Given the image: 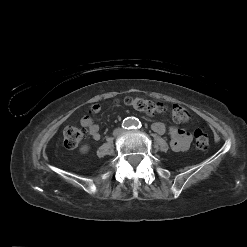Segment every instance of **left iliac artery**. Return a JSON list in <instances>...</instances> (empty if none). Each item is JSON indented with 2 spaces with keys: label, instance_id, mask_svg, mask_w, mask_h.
Listing matches in <instances>:
<instances>
[{
  "label": "left iliac artery",
  "instance_id": "44dca946",
  "mask_svg": "<svg viewBox=\"0 0 247 247\" xmlns=\"http://www.w3.org/2000/svg\"><path fill=\"white\" fill-rule=\"evenodd\" d=\"M141 127V122L140 121H135V124L133 126L134 129H139Z\"/></svg>",
  "mask_w": 247,
  "mask_h": 247
}]
</instances>
